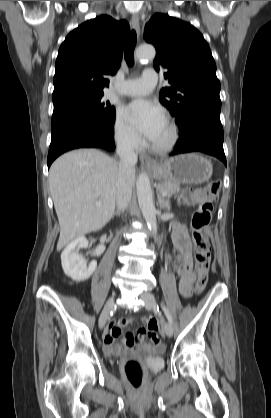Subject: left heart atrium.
<instances>
[{
	"mask_svg": "<svg viewBox=\"0 0 271 418\" xmlns=\"http://www.w3.org/2000/svg\"><path fill=\"white\" fill-rule=\"evenodd\" d=\"M129 123L148 140L153 141L166 123L162 110L144 99L130 103L126 108Z\"/></svg>",
	"mask_w": 271,
	"mask_h": 418,
	"instance_id": "1",
	"label": "left heart atrium"
}]
</instances>
